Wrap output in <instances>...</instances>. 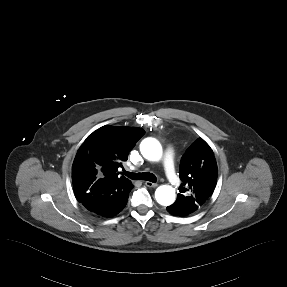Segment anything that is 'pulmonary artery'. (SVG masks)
I'll return each mask as SVG.
<instances>
[{
    "label": "pulmonary artery",
    "instance_id": "e3ab8cb5",
    "mask_svg": "<svg viewBox=\"0 0 287 287\" xmlns=\"http://www.w3.org/2000/svg\"><path fill=\"white\" fill-rule=\"evenodd\" d=\"M162 165L164 168V171L166 173V176L170 180L171 184L174 187H179L181 182L179 178L175 174L174 169V150L172 147H168L164 153V157L162 159Z\"/></svg>",
    "mask_w": 287,
    "mask_h": 287
}]
</instances>
